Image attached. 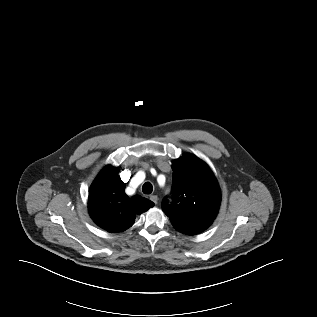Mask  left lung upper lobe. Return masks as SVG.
Returning a JSON list of instances; mask_svg holds the SVG:
<instances>
[{
    "label": "left lung upper lobe",
    "mask_w": 317,
    "mask_h": 317,
    "mask_svg": "<svg viewBox=\"0 0 317 317\" xmlns=\"http://www.w3.org/2000/svg\"><path fill=\"white\" fill-rule=\"evenodd\" d=\"M172 169V191L164 198L162 210L177 230L191 228L202 232L212 224L219 210L218 182L209 166L191 154L175 160Z\"/></svg>",
    "instance_id": "left-lung-upper-lobe-1"
}]
</instances>
